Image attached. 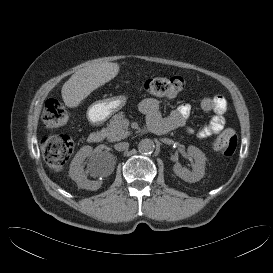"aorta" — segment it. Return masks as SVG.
Listing matches in <instances>:
<instances>
[{"label":"aorta","mask_w":273,"mask_h":273,"mask_svg":"<svg viewBox=\"0 0 273 273\" xmlns=\"http://www.w3.org/2000/svg\"><path fill=\"white\" fill-rule=\"evenodd\" d=\"M155 149V144L151 139H142L138 144V150L142 154H151Z\"/></svg>","instance_id":"aorta-1"}]
</instances>
